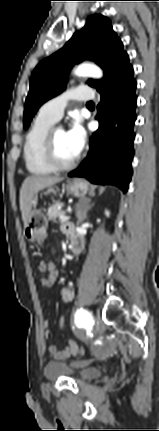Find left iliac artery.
I'll use <instances>...</instances> for the list:
<instances>
[{
    "mask_svg": "<svg viewBox=\"0 0 159 431\" xmlns=\"http://www.w3.org/2000/svg\"><path fill=\"white\" fill-rule=\"evenodd\" d=\"M75 316L76 323L80 326L92 325V323L94 322L91 313L83 308L78 309Z\"/></svg>",
    "mask_w": 159,
    "mask_h": 431,
    "instance_id": "obj_1",
    "label": "left iliac artery"
}]
</instances>
